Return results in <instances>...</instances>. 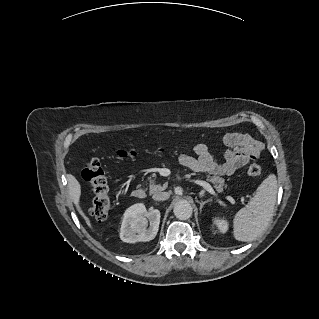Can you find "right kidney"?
I'll return each instance as SVG.
<instances>
[{
  "instance_id": "obj_1",
  "label": "right kidney",
  "mask_w": 319,
  "mask_h": 319,
  "mask_svg": "<svg viewBox=\"0 0 319 319\" xmlns=\"http://www.w3.org/2000/svg\"><path fill=\"white\" fill-rule=\"evenodd\" d=\"M148 221L150 226H148ZM160 211L146 210L142 203L129 207L122 220L120 238L127 243L146 242L155 238L159 229Z\"/></svg>"
}]
</instances>
